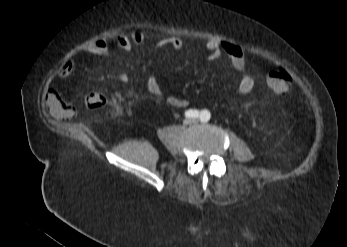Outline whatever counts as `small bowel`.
Masks as SVG:
<instances>
[{
	"label": "small bowel",
	"instance_id": "c3829d8e",
	"mask_svg": "<svg viewBox=\"0 0 347 247\" xmlns=\"http://www.w3.org/2000/svg\"><path fill=\"white\" fill-rule=\"evenodd\" d=\"M115 43L124 51H130L136 47H143L148 41V36L141 31H132L130 34L119 33L114 38ZM183 41L175 36H168L157 39L153 47L154 49L172 48L173 50H180L183 48ZM208 52V60L211 62L218 61L223 57H227L230 61L232 69L240 74L237 83V91L240 94L250 93L255 87L254 77L250 74L244 73L246 67V58L242 48L238 45L229 42H218L216 40H208L205 44ZM82 52L97 56H108L110 47L105 39L94 40L82 48ZM74 65L71 61L64 63L59 69L60 77H68L73 73ZM146 90L156 96L162 95V86L160 81L154 77L149 76L145 83ZM168 105L174 108H183L188 105V100L177 96H170L166 99ZM46 105L49 111L56 117L62 119L72 118L76 110L75 108L61 100L55 95L53 90L49 91L46 98Z\"/></svg>",
	"mask_w": 347,
	"mask_h": 247
}]
</instances>
